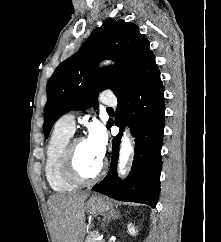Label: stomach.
Returning <instances> with one entry per match:
<instances>
[{
	"mask_svg": "<svg viewBox=\"0 0 221 242\" xmlns=\"http://www.w3.org/2000/svg\"><path fill=\"white\" fill-rule=\"evenodd\" d=\"M113 208V204L100 195H93L86 202V210L92 214H103Z\"/></svg>",
	"mask_w": 221,
	"mask_h": 242,
	"instance_id": "1",
	"label": "stomach"
}]
</instances>
